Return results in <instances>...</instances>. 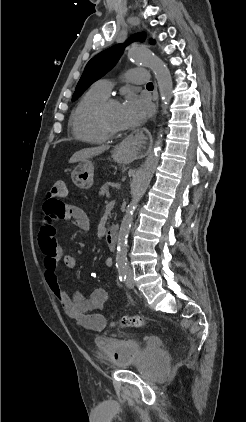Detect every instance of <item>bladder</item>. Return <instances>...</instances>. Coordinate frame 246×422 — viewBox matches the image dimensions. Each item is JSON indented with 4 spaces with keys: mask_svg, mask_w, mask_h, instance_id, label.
Returning <instances> with one entry per match:
<instances>
[{
    "mask_svg": "<svg viewBox=\"0 0 246 422\" xmlns=\"http://www.w3.org/2000/svg\"><path fill=\"white\" fill-rule=\"evenodd\" d=\"M98 348L113 365L121 368L136 365L142 353L141 343L129 338H107L98 343ZM150 352L157 367L164 369L168 366L169 357L163 348L156 346Z\"/></svg>",
    "mask_w": 246,
    "mask_h": 422,
    "instance_id": "31cf9c89",
    "label": "bladder"
}]
</instances>
